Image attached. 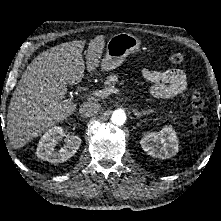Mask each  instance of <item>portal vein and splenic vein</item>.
<instances>
[{"instance_id":"obj_1","label":"portal vein and splenic vein","mask_w":221,"mask_h":221,"mask_svg":"<svg viewBox=\"0 0 221 221\" xmlns=\"http://www.w3.org/2000/svg\"><path fill=\"white\" fill-rule=\"evenodd\" d=\"M120 90L115 88L114 86H111V88L108 89H104V90H99V91H94L93 95L96 97H106L108 95H110L111 93H117Z\"/></svg>"}]
</instances>
